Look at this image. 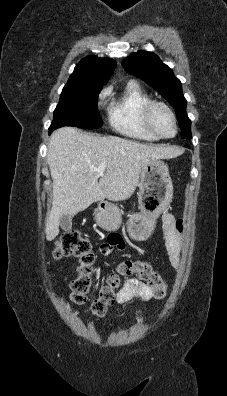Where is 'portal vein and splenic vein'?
Instances as JSON below:
<instances>
[{
	"label": "portal vein and splenic vein",
	"instance_id": "18ae733b",
	"mask_svg": "<svg viewBox=\"0 0 227 396\" xmlns=\"http://www.w3.org/2000/svg\"><path fill=\"white\" fill-rule=\"evenodd\" d=\"M106 165L105 164H100L97 168V172L99 173V175H103V172L105 170Z\"/></svg>",
	"mask_w": 227,
	"mask_h": 396
}]
</instances>
